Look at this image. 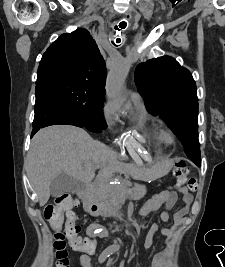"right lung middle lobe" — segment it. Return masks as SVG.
Listing matches in <instances>:
<instances>
[{"instance_id":"right-lung-middle-lobe-1","label":"right lung middle lobe","mask_w":225,"mask_h":267,"mask_svg":"<svg viewBox=\"0 0 225 267\" xmlns=\"http://www.w3.org/2000/svg\"><path fill=\"white\" fill-rule=\"evenodd\" d=\"M36 88L49 92L89 131L100 133L107 128L102 114V91L82 81L58 76L37 80Z\"/></svg>"}]
</instances>
